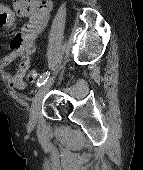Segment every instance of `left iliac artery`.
I'll return each instance as SVG.
<instances>
[{"label":"left iliac artery","mask_w":143,"mask_h":170,"mask_svg":"<svg viewBox=\"0 0 143 170\" xmlns=\"http://www.w3.org/2000/svg\"><path fill=\"white\" fill-rule=\"evenodd\" d=\"M50 76V72H45L43 73V75L40 76L38 82H37V86L40 87L41 85H43L49 78Z\"/></svg>","instance_id":"obj_1"}]
</instances>
